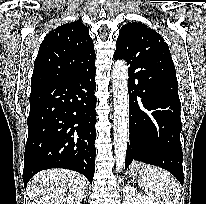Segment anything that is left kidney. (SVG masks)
<instances>
[{"instance_id": "1", "label": "left kidney", "mask_w": 206, "mask_h": 204, "mask_svg": "<svg viewBox=\"0 0 206 204\" xmlns=\"http://www.w3.org/2000/svg\"><path fill=\"white\" fill-rule=\"evenodd\" d=\"M123 204H155L149 197L138 193L130 185L123 188Z\"/></svg>"}]
</instances>
